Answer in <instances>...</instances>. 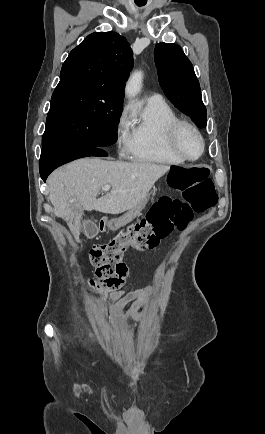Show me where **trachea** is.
I'll return each mask as SVG.
<instances>
[{"label": "trachea", "instance_id": "1", "mask_svg": "<svg viewBox=\"0 0 265 434\" xmlns=\"http://www.w3.org/2000/svg\"><path fill=\"white\" fill-rule=\"evenodd\" d=\"M136 5H138V7H143V5H146L145 3H136Z\"/></svg>", "mask_w": 265, "mask_h": 434}]
</instances>
